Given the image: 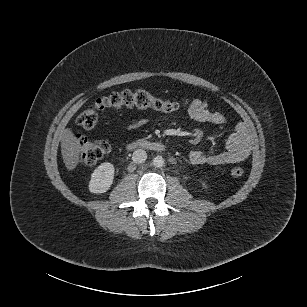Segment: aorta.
<instances>
[{"instance_id": "obj_1", "label": "aorta", "mask_w": 307, "mask_h": 307, "mask_svg": "<svg viewBox=\"0 0 307 307\" xmlns=\"http://www.w3.org/2000/svg\"><path fill=\"white\" fill-rule=\"evenodd\" d=\"M165 164V160L162 156H156L154 159H153V165L157 168H161L163 167Z\"/></svg>"}]
</instances>
